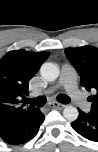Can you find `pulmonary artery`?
Instances as JSON below:
<instances>
[{
    "instance_id": "1",
    "label": "pulmonary artery",
    "mask_w": 98,
    "mask_h": 152,
    "mask_svg": "<svg viewBox=\"0 0 98 152\" xmlns=\"http://www.w3.org/2000/svg\"><path fill=\"white\" fill-rule=\"evenodd\" d=\"M57 87H63L69 97L81 108L88 110L90 104L88 103L84 94L78 89L77 78L74 70L69 65H64L61 68V75ZM53 88L49 89L47 93L53 92Z\"/></svg>"
}]
</instances>
